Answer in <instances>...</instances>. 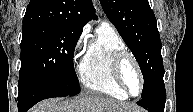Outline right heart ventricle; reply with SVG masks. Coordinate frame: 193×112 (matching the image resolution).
Listing matches in <instances>:
<instances>
[{
    "label": "right heart ventricle",
    "instance_id": "1",
    "mask_svg": "<svg viewBox=\"0 0 193 112\" xmlns=\"http://www.w3.org/2000/svg\"><path fill=\"white\" fill-rule=\"evenodd\" d=\"M126 49L118 32L109 25H101L90 42L79 69V79L88 90L124 100L128 95L120 89L113 78L114 55Z\"/></svg>",
    "mask_w": 193,
    "mask_h": 112
}]
</instances>
